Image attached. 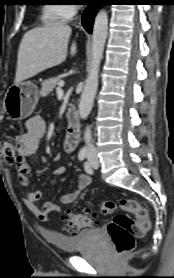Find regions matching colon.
<instances>
[{
  "mask_svg": "<svg viewBox=\"0 0 174 278\" xmlns=\"http://www.w3.org/2000/svg\"><path fill=\"white\" fill-rule=\"evenodd\" d=\"M0 153L7 163H14L16 147L9 141H0ZM120 208L126 213L117 214L108 225V233L118 254L131 251L135 246V239L144 235L150 228V220L147 210L135 199H122ZM101 212L110 214L115 209V203L104 201L101 204ZM98 220V214L91 210L80 213H70L65 218V227L70 231H77L94 225Z\"/></svg>",
  "mask_w": 174,
  "mask_h": 278,
  "instance_id": "colon-1",
  "label": "colon"
}]
</instances>
